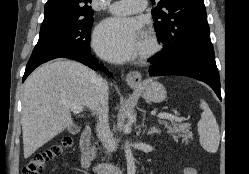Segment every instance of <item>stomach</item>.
Masks as SVG:
<instances>
[{"mask_svg": "<svg viewBox=\"0 0 249 174\" xmlns=\"http://www.w3.org/2000/svg\"><path fill=\"white\" fill-rule=\"evenodd\" d=\"M131 86L133 89L141 92L144 99L149 102L160 103L167 97L165 87L161 83L153 80H145Z\"/></svg>", "mask_w": 249, "mask_h": 174, "instance_id": "stomach-1", "label": "stomach"}]
</instances>
